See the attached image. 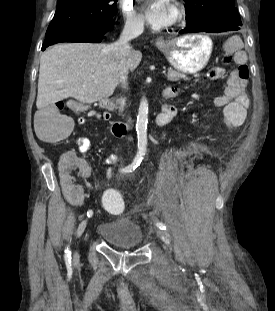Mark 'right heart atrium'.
Returning a JSON list of instances; mask_svg holds the SVG:
<instances>
[{"label":"right heart atrium","mask_w":275,"mask_h":311,"mask_svg":"<svg viewBox=\"0 0 275 311\" xmlns=\"http://www.w3.org/2000/svg\"><path fill=\"white\" fill-rule=\"evenodd\" d=\"M121 9L127 28L134 31H141L144 27V19L138 13L130 0H121Z\"/></svg>","instance_id":"1"}]
</instances>
